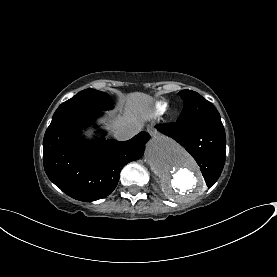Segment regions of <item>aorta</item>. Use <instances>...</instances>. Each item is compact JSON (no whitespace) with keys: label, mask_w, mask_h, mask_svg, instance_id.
Instances as JSON below:
<instances>
[{"label":"aorta","mask_w":277,"mask_h":277,"mask_svg":"<svg viewBox=\"0 0 277 277\" xmlns=\"http://www.w3.org/2000/svg\"><path fill=\"white\" fill-rule=\"evenodd\" d=\"M146 161L159 177L165 196L173 201L194 200L206 187L193 158L168 137L158 135L148 143Z\"/></svg>","instance_id":"762f6f07"}]
</instances>
